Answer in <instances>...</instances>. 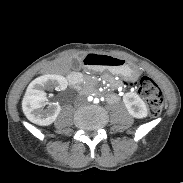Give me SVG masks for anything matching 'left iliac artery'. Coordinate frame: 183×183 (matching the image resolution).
Here are the masks:
<instances>
[{
  "label": "left iliac artery",
  "instance_id": "left-iliac-artery-1",
  "mask_svg": "<svg viewBox=\"0 0 183 183\" xmlns=\"http://www.w3.org/2000/svg\"><path fill=\"white\" fill-rule=\"evenodd\" d=\"M94 103H96V104L99 103V99L98 98H95L94 99Z\"/></svg>",
  "mask_w": 183,
  "mask_h": 183
}]
</instances>
